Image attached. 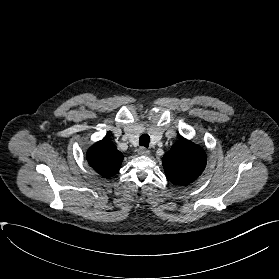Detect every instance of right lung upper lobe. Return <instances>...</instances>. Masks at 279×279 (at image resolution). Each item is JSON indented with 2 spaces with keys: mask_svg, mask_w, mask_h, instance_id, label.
I'll use <instances>...</instances> for the list:
<instances>
[{
  "mask_svg": "<svg viewBox=\"0 0 279 279\" xmlns=\"http://www.w3.org/2000/svg\"><path fill=\"white\" fill-rule=\"evenodd\" d=\"M87 160L97 173L109 178L119 171L123 154L116 149L113 142L104 138L88 150Z\"/></svg>",
  "mask_w": 279,
  "mask_h": 279,
  "instance_id": "right-lung-upper-lobe-1",
  "label": "right lung upper lobe"
}]
</instances>
